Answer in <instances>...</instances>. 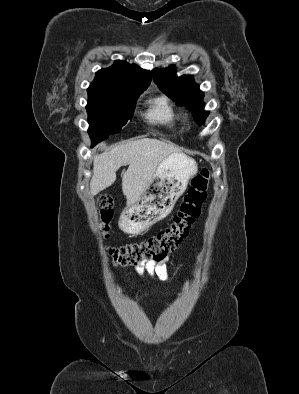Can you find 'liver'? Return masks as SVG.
I'll return each mask as SVG.
<instances>
[{"label":"liver","instance_id":"obj_1","mask_svg":"<svg viewBox=\"0 0 299 394\" xmlns=\"http://www.w3.org/2000/svg\"><path fill=\"white\" fill-rule=\"evenodd\" d=\"M175 145L153 138H142L116 146L94 157L91 194L111 186L116 171L129 165L122 177V191L127 204L138 202L149 185L158 165L170 154L179 152Z\"/></svg>","mask_w":299,"mask_h":394}]
</instances>
